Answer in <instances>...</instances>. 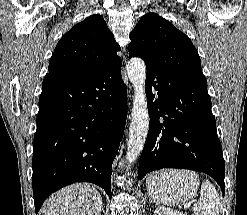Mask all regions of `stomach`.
<instances>
[{"label": "stomach", "instance_id": "obj_1", "mask_svg": "<svg viewBox=\"0 0 247 215\" xmlns=\"http://www.w3.org/2000/svg\"><path fill=\"white\" fill-rule=\"evenodd\" d=\"M149 196L165 205H178L193 198L198 188L195 173L186 170H166L148 179Z\"/></svg>", "mask_w": 247, "mask_h": 215}]
</instances>
